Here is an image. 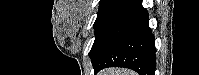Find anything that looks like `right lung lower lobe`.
Here are the masks:
<instances>
[{
	"label": "right lung lower lobe",
	"mask_w": 199,
	"mask_h": 75,
	"mask_svg": "<svg viewBox=\"0 0 199 75\" xmlns=\"http://www.w3.org/2000/svg\"><path fill=\"white\" fill-rule=\"evenodd\" d=\"M142 0H130L108 27L91 56L94 73L106 67H125L139 75H155V39Z\"/></svg>",
	"instance_id": "98d812e1"
}]
</instances>
